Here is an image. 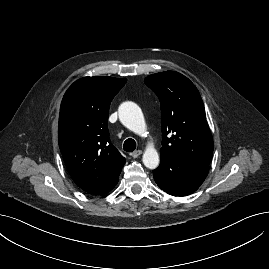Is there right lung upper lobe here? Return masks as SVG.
I'll return each mask as SVG.
<instances>
[{"label":"right lung upper lobe","instance_id":"1","mask_svg":"<svg viewBox=\"0 0 269 269\" xmlns=\"http://www.w3.org/2000/svg\"><path fill=\"white\" fill-rule=\"evenodd\" d=\"M126 81L81 78L69 87L61 103L59 147L74 182L91 194L112 185L125 164L110 141L107 121L110 103Z\"/></svg>","mask_w":269,"mask_h":269}]
</instances>
